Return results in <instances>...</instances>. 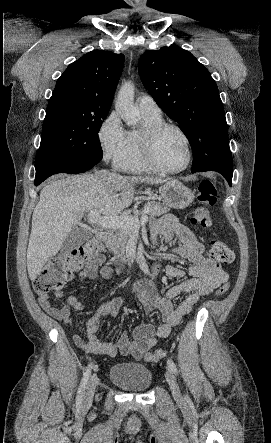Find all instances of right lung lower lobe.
Segmentation results:
<instances>
[{"label":"right lung lower lobe","instance_id":"obj_1","mask_svg":"<svg viewBox=\"0 0 271 443\" xmlns=\"http://www.w3.org/2000/svg\"><path fill=\"white\" fill-rule=\"evenodd\" d=\"M99 161L94 159H63L42 164L36 168L34 184L37 186L49 176L57 173L77 174L94 167Z\"/></svg>","mask_w":271,"mask_h":443}]
</instances>
